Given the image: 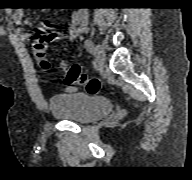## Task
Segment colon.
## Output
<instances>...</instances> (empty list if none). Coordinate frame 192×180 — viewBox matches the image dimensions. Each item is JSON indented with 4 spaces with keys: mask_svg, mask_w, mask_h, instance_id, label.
<instances>
[{
    "mask_svg": "<svg viewBox=\"0 0 192 180\" xmlns=\"http://www.w3.org/2000/svg\"><path fill=\"white\" fill-rule=\"evenodd\" d=\"M58 39L56 32H45L35 36L32 44L33 52L43 70L50 68V62L46 58L48 44ZM64 80L68 85L83 86L90 95L98 94L101 90V83L98 79L89 77L77 64L64 66Z\"/></svg>",
    "mask_w": 192,
    "mask_h": 180,
    "instance_id": "5ec220e1",
    "label": "colon"
}]
</instances>
